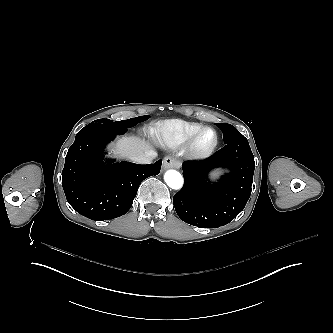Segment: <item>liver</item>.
I'll list each match as a JSON object with an SVG mask.
<instances>
[{
	"label": "liver",
	"mask_w": 333,
	"mask_h": 333,
	"mask_svg": "<svg viewBox=\"0 0 333 333\" xmlns=\"http://www.w3.org/2000/svg\"><path fill=\"white\" fill-rule=\"evenodd\" d=\"M109 149L114 152L120 158H134L138 155H142L145 151L152 149V145L148 141H144L139 137H122L116 145H109Z\"/></svg>",
	"instance_id": "1"
}]
</instances>
